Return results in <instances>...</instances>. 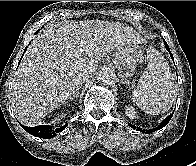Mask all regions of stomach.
Here are the masks:
<instances>
[{"instance_id":"0dacf381","label":"stomach","mask_w":196,"mask_h":166,"mask_svg":"<svg viewBox=\"0 0 196 166\" xmlns=\"http://www.w3.org/2000/svg\"><path fill=\"white\" fill-rule=\"evenodd\" d=\"M115 57L119 70L129 74L130 72H134L137 64L141 62L143 51L135 43H126L118 46Z\"/></svg>"}]
</instances>
